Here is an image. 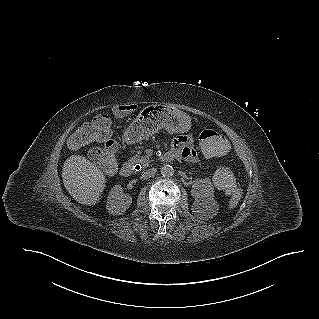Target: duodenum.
<instances>
[{
	"label": "duodenum",
	"mask_w": 319,
	"mask_h": 319,
	"mask_svg": "<svg viewBox=\"0 0 319 319\" xmlns=\"http://www.w3.org/2000/svg\"><path fill=\"white\" fill-rule=\"evenodd\" d=\"M174 156L171 152H167L166 154L163 155L162 159L163 160H170ZM134 171V166L131 163H124L123 166L121 167L120 173L124 177H129L132 175Z\"/></svg>",
	"instance_id": "duodenum-1"
}]
</instances>
